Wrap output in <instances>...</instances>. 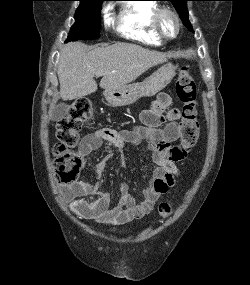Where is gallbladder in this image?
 Returning a JSON list of instances; mask_svg holds the SVG:
<instances>
[{"instance_id":"obj_1","label":"gallbladder","mask_w":250,"mask_h":285,"mask_svg":"<svg viewBox=\"0 0 250 285\" xmlns=\"http://www.w3.org/2000/svg\"><path fill=\"white\" fill-rule=\"evenodd\" d=\"M68 114V105L65 103L58 104L52 114V119L54 121H59L65 118V116Z\"/></svg>"}]
</instances>
